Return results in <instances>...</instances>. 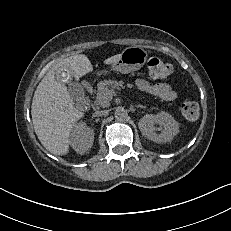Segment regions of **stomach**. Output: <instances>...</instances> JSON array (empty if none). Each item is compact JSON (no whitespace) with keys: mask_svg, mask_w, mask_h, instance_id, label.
Returning a JSON list of instances; mask_svg holds the SVG:
<instances>
[{"mask_svg":"<svg viewBox=\"0 0 231 231\" xmlns=\"http://www.w3.org/2000/svg\"><path fill=\"white\" fill-rule=\"evenodd\" d=\"M147 60V51L140 46L127 47L112 69L127 74L141 69Z\"/></svg>","mask_w":231,"mask_h":231,"instance_id":"1","label":"stomach"}]
</instances>
